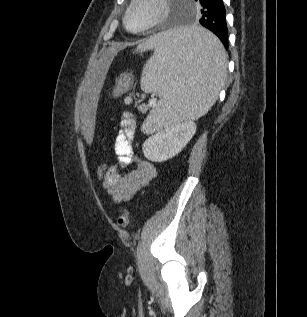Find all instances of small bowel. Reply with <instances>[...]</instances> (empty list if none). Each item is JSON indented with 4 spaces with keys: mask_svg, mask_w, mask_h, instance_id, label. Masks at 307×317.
Listing matches in <instances>:
<instances>
[{
    "mask_svg": "<svg viewBox=\"0 0 307 317\" xmlns=\"http://www.w3.org/2000/svg\"><path fill=\"white\" fill-rule=\"evenodd\" d=\"M121 129L115 137L114 150L118 163L108 167L102 186L116 204L130 200L146 187L156 176V168L150 162L139 159L132 149L136 130L133 115L125 112L120 123ZM134 164L133 170L122 173V169Z\"/></svg>",
    "mask_w": 307,
    "mask_h": 317,
    "instance_id": "small-bowel-1",
    "label": "small bowel"
}]
</instances>
